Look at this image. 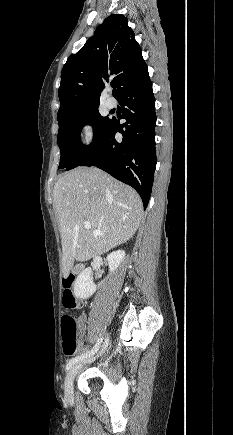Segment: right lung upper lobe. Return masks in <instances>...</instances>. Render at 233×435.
<instances>
[{"label": "right lung upper lobe", "instance_id": "1", "mask_svg": "<svg viewBox=\"0 0 233 435\" xmlns=\"http://www.w3.org/2000/svg\"><path fill=\"white\" fill-rule=\"evenodd\" d=\"M122 14H112L95 34L67 59L61 72L58 118L79 115L98 107L100 91L114 77L119 97L129 83L148 73L141 48Z\"/></svg>", "mask_w": 233, "mask_h": 435}]
</instances>
